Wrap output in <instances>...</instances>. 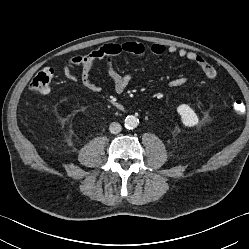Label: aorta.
Returning <instances> with one entry per match:
<instances>
[{"label": "aorta", "instance_id": "1", "mask_svg": "<svg viewBox=\"0 0 249 249\" xmlns=\"http://www.w3.org/2000/svg\"><path fill=\"white\" fill-rule=\"evenodd\" d=\"M139 120L137 117L130 115L125 118L124 125L127 129H134L138 126Z\"/></svg>", "mask_w": 249, "mask_h": 249}]
</instances>
